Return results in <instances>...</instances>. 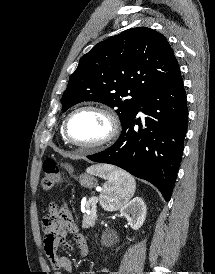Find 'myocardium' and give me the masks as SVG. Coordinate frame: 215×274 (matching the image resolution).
<instances>
[{"instance_id":"obj_1","label":"myocardium","mask_w":215,"mask_h":274,"mask_svg":"<svg viewBox=\"0 0 215 274\" xmlns=\"http://www.w3.org/2000/svg\"><path fill=\"white\" fill-rule=\"evenodd\" d=\"M95 111L98 112L100 114H102L108 121L109 124V130L108 133L106 134V136H104L102 139L94 142V143H89V144H83V143H79L76 142L75 140H73L69 134V124L71 119L79 112L82 111ZM63 136L65 138V140L78 148H82V149H87V150H98L101 149L109 144H111L119 135L120 133V120L118 118V116L116 115V113L105 106L102 105H95V104H86V105H82L76 109H74L73 111H71L68 116L66 117V119L64 120L63 123Z\"/></svg>"}]
</instances>
